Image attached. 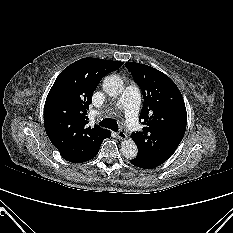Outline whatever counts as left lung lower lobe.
Listing matches in <instances>:
<instances>
[{
  "label": "left lung lower lobe",
  "mask_w": 233,
  "mask_h": 233,
  "mask_svg": "<svg viewBox=\"0 0 233 233\" xmlns=\"http://www.w3.org/2000/svg\"><path fill=\"white\" fill-rule=\"evenodd\" d=\"M130 162L140 168H144V169H152L157 167L156 165H154L153 163L148 162L147 160L136 156L134 159L130 160Z\"/></svg>",
  "instance_id": "1"
}]
</instances>
